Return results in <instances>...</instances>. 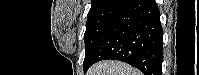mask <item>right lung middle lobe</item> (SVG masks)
<instances>
[{"label":"right lung middle lobe","mask_w":199,"mask_h":75,"mask_svg":"<svg viewBox=\"0 0 199 75\" xmlns=\"http://www.w3.org/2000/svg\"><path fill=\"white\" fill-rule=\"evenodd\" d=\"M127 2L128 0H109L90 8L87 16L86 31L84 34L86 47L83 62L84 66L89 63L92 51L104 34V31L110 22Z\"/></svg>","instance_id":"obj_1"}]
</instances>
